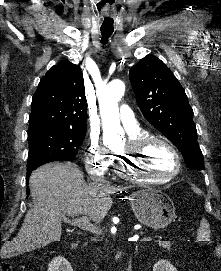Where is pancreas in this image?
Segmentation results:
<instances>
[{
  "label": "pancreas",
  "mask_w": 221,
  "mask_h": 271,
  "mask_svg": "<svg viewBox=\"0 0 221 271\" xmlns=\"http://www.w3.org/2000/svg\"><path fill=\"white\" fill-rule=\"evenodd\" d=\"M154 244H157V247H174V242L167 239H154Z\"/></svg>",
  "instance_id": "obj_1"
}]
</instances>
